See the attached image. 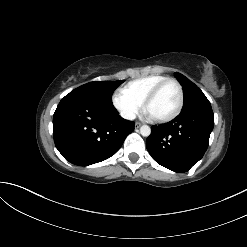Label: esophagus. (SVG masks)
<instances>
[{
    "label": "esophagus",
    "instance_id": "1",
    "mask_svg": "<svg viewBox=\"0 0 247 247\" xmlns=\"http://www.w3.org/2000/svg\"><path fill=\"white\" fill-rule=\"evenodd\" d=\"M135 126H136V128H139L141 126V123L137 122Z\"/></svg>",
    "mask_w": 247,
    "mask_h": 247
}]
</instances>
